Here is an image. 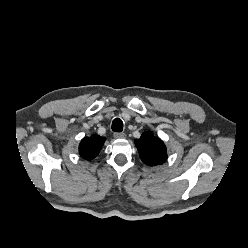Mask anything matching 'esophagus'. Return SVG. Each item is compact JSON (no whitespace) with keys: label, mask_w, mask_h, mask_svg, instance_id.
Masks as SVG:
<instances>
[{"label":"esophagus","mask_w":248,"mask_h":248,"mask_svg":"<svg viewBox=\"0 0 248 248\" xmlns=\"http://www.w3.org/2000/svg\"><path fill=\"white\" fill-rule=\"evenodd\" d=\"M114 137L119 138V139H123L126 137V134L123 132H117V133H114Z\"/></svg>","instance_id":"obj_1"}]
</instances>
